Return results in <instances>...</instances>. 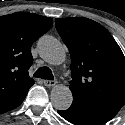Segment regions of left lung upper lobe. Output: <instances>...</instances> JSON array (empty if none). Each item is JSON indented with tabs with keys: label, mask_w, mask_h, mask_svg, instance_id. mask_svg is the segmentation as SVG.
<instances>
[{
	"label": "left lung upper lobe",
	"mask_w": 125,
	"mask_h": 125,
	"mask_svg": "<svg viewBox=\"0 0 125 125\" xmlns=\"http://www.w3.org/2000/svg\"><path fill=\"white\" fill-rule=\"evenodd\" d=\"M69 49L75 105L125 104V57L111 34L88 18H57Z\"/></svg>",
	"instance_id": "obj_1"
}]
</instances>
